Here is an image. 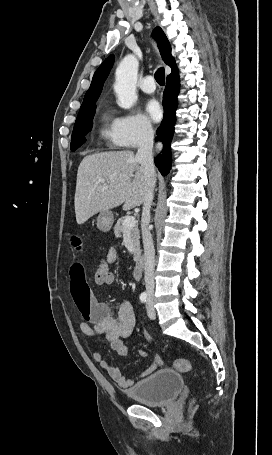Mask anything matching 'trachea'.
Segmentation results:
<instances>
[{
  "label": "trachea",
  "mask_w": 272,
  "mask_h": 455,
  "mask_svg": "<svg viewBox=\"0 0 272 455\" xmlns=\"http://www.w3.org/2000/svg\"><path fill=\"white\" fill-rule=\"evenodd\" d=\"M155 79L159 85H164L165 84V70L163 67L159 68L155 72Z\"/></svg>",
  "instance_id": "trachea-1"
}]
</instances>
